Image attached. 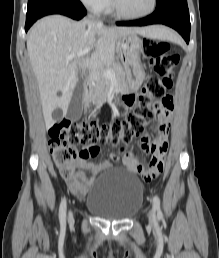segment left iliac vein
<instances>
[{"mask_svg":"<svg viewBox=\"0 0 219 258\" xmlns=\"http://www.w3.org/2000/svg\"><path fill=\"white\" fill-rule=\"evenodd\" d=\"M148 217H149V222H150V223H153V215H152V212H149Z\"/></svg>","mask_w":219,"mask_h":258,"instance_id":"1","label":"left iliac vein"}]
</instances>
